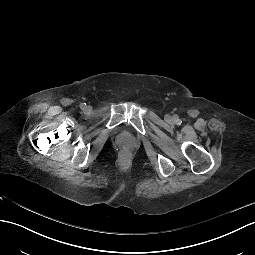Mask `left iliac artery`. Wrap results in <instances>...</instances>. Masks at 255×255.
<instances>
[{
	"label": "left iliac artery",
	"instance_id": "obj_1",
	"mask_svg": "<svg viewBox=\"0 0 255 255\" xmlns=\"http://www.w3.org/2000/svg\"><path fill=\"white\" fill-rule=\"evenodd\" d=\"M176 122L179 123V122H180V119H177Z\"/></svg>",
	"mask_w": 255,
	"mask_h": 255
}]
</instances>
